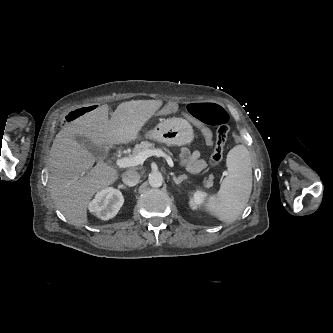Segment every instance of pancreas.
Listing matches in <instances>:
<instances>
[{
  "label": "pancreas",
  "mask_w": 333,
  "mask_h": 333,
  "mask_svg": "<svg viewBox=\"0 0 333 333\" xmlns=\"http://www.w3.org/2000/svg\"><path fill=\"white\" fill-rule=\"evenodd\" d=\"M152 149H155L154 143H151L148 141H142L140 144L135 145L133 152H132V156H136L141 151L152 150ZM212 179H213V177L209 176L208 179L204 181L205 186H207V187L212 186Z\"/></svg>",
  "instance_id": "obj_1"
}]
</instances>
